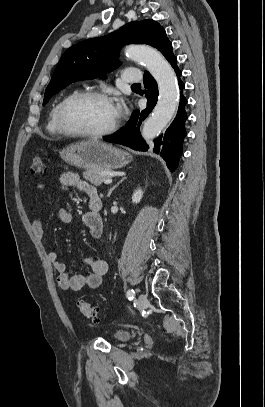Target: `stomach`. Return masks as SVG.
<instances>
[{
    "label": "stomach",
    "mask_w": 265,
    "mask_h": 407,
    "mask_svg": "<svg viewBox=\"0 0 265 407\" xmlns=\"http://www.w3.org/2000/svg\"><path fill=\"white\" fill-rule=\"evenodd\" d=\"M60 156L75 167L102 171L122 168L132 160L128 152L95 140L72 144L64 148Z\"/></svg>",
    "instance_id": "stomach-1"
}]
</instances>
